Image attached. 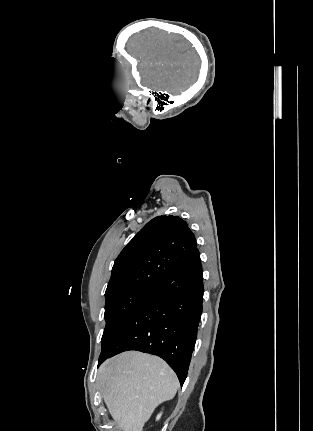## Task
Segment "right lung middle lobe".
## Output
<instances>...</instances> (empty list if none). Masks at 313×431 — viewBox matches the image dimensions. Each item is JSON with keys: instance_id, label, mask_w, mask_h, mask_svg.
Returning a JSON list of instances; mask_svg holds the SVG:
<instances>
[{"instance_id": "obj_1", "label": "right lung middle lobe", "mask_w": 313, "mask_h": 431, "mask_svg": "<svg viewBox=\"0 0 313 431\" xmlns=\"http://www.w3.org/2000/svg\"><path fill=\"white\" fill-rule=\"evenodd\" d=\"M151 291H127L105 296L104 318L106 326L101 339L102 347L108 343L119 327Z\"/></svg>"}]
</instances>
